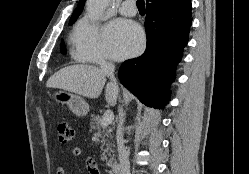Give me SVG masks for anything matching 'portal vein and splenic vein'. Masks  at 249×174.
Instances as JSON below:
<instances>
[{"mask_svg":"<svg viewBox=\"0 0 249 174\" xmlns=\"http://www.w3.org/2000/svg\"><path fill=\"white\" fill-rule=\"evenodd\" d=\"M114 120V113L111 110H106L103 114V117L101 119V125L103 127H106L110 125Z\"/></svg>","mask_w":249,"mask_h":174,"instance_id":"portal-vein-and-splenic-vein-1","label":"portal vein and splenic vein"}]
</instances>
